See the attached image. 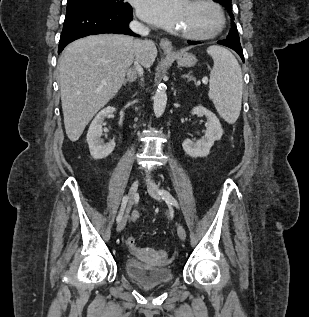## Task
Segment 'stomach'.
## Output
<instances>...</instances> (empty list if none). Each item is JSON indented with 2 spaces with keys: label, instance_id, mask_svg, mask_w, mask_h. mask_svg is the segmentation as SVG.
<instances>
[{
  "label": "stomach",
  "instance_id": "0dacf381",
  "mask_svg": "<svg viewBox=\"0 0 309 317\" xmlns=\"http://www.w3.org/2000/svg\"><path fill=\"white\" fill-rule=\"evenodd\" d=\"M177 64L181 67H192L196 64V57L188 52L180 51L176 55Z\"/></svg>",
  "mask_w": 309,
  "mask_h": 317
}]
</instances>
